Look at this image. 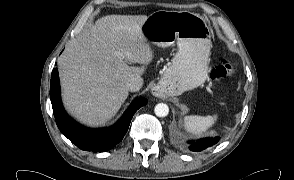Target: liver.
<instances>
[{"mask_svg": "<svg viewBox=\"0 0 294 180\" xmlns=\"http://www.w3.org/2000/svg\"><path fill=\"white\" fill-rule=\"evenodd\" d=\"M147 18L104 16L67 44L58 58L62 98L66 109L80 122L104 125L127 99V82L145 72L153 59L141 30Z\"/></svg>", "mask_w": 294, "mask_h": 180, "instance_id": "1", "label": "liver"}]
</instances>
